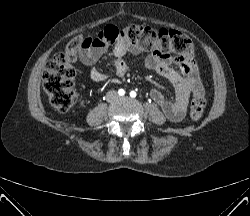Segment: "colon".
Instances as JSON below:
<instances>
[{"instance_id":"colon-1","label":"colon","mask_w":250,"mask_h":216,"mask_svg":"<svg viewBox=\"0 0 250 216\" xmlns=\"http://www.w3.org/2000/svg\"><path fill=\"white\" fill-rule=\"evenodd\" d=\"M123 40L131 46L163 53H175L182 58L191 59L194 47L191 39L176 30H155L147 26L132 24L125 27L108 26L96 37H76L65 50L55 55L46 65L43 74V88L51 105L61 112L78 105L79 98L73 88L77 51L88 46H106ZM206 99L201 93H194L190 105V116L194 120L202 117Z\"/></svg>"}]
</instances>
